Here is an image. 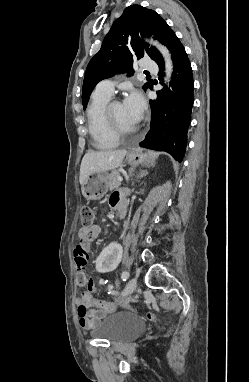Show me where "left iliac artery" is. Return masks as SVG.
Instances as JSON below:
<instances>
[{"mask_svg":"<svg viewBox=\"0 0 249 382\" xmlns=\"http://www.w3.org/2000/svg\"><path fill=\"white\" fill-rule=\"evenodd\" d=\"M129 278V273L127 271L122 272L121 279L126 281Z\"/></svg>","mask_w":249,"mask_h":382,"instance_id":"1","label":"left iliac artery"}]
</instances>
